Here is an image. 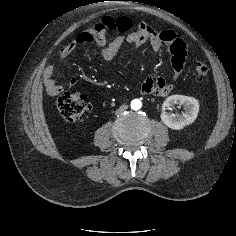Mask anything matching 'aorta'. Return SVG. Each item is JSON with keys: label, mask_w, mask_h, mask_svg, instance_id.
Here are the masks:
<instances>
[{"label": "aorta", "mask_w": 236, "mask_h": 236, "mask_svg": "<svg viewBox=\"0 0 236 236\" xmlns=\"http://www.w3.org/2000/svg\"><path fill=\"white\" fill-rule=\"evenodd\" d=\"M142 107V102L139 99H133L131 101V108L133 110H139Z\"/></svg>", "instance_id": "aorta-1"}]
</instances>
